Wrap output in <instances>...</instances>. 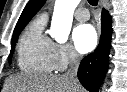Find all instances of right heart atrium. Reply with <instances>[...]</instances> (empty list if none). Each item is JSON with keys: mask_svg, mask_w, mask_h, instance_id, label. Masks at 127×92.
I'll return each mask as SVG.
<instances>
[{"mask_svg": "<svg viewBox=\"0 0 127 92\" xmlns=\"http://www.w3.org/2000/svg\"><path fill=\"white\" fill-rule=\"evenodd\" d=\"M53 61L56 70L61 71L80 61V55L68 43H54Z\"/></svg>", "mask_w": 127, "mask_h": 92, "instance_id": "right-heart-atrium-1", "label": "right heart atrium"}]
</instances>
